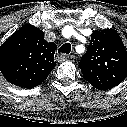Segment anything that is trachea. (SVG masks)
<instances>
[{
	"instance_id": "trachea-1",
	"label": "trachea",
	"mask_w": 127,
	"mask_h": 127,
	"mask_svg": "<svg viewBox=\"0 0 127 127\" xmlns=\"http://www.w3.org/2000/svg\"><path fill=\"white\" fill-rule=\"evenodd\" d=\"M70 51H71V44H70V43H65V44H63V45L58 49V52H59V53L69 54Z\"/></svg>"
}]
</instances>
